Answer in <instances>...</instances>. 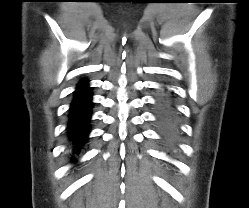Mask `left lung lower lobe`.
Segmentation results:
<instances>
[{
    "mask_svg": "<svg viewBox=\"0 0 249 208\" xmlns=\"http://www.w3.org/2000/svg\"><path fill=\"white\" fill-rule=\"evenodd\" d=\"M157 122L162 137L173 146L178 132V121L176 117V109L169 95L159 99L157 104Z\"/></svg>",
    "mask_w": 249,
    "mask_h": 208,
    "instance_id": "1",
    "label": "left lung lower lobe"
}]
</instances>
